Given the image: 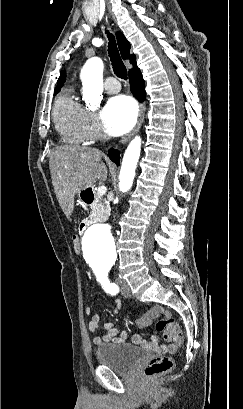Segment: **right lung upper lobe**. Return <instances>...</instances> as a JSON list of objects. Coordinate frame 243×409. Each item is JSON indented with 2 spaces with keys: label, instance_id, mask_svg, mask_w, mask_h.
Returning a JSON list of instances; mask_svg holds the SVG:
<instances>
[{
  "label": "right lung upper lobe",
  "instance_id": "1",
  "mask_svg": "<svg viewBox=\"0 0 243 409\" xmlns=\"http://www.w3.org/2000/svg\"><path fill=\"white\" fill-rule=\"evenodd\" d=\"M116 38H117V43H118V47H119V50H120V52H121L122 58H123L124 60H125V59H129V60H130V63L133 65V69H131V70L129 71V75L132 74V73H134V72H136V71H138L139 69L137 68V65H136L135 56H134V55H130V44H129V42H128L127 39L124 37V35L121 34L120 32H117V33H116ZM65 76H66L65 72L62 71V72H61V75H60V77H59V79H58V86L56 87L55 91H59L60 86H61L62 83L65 81Z\"/></svg>",
  "mask_w": 243,
  "mask_h": 409
}]
</instances>
